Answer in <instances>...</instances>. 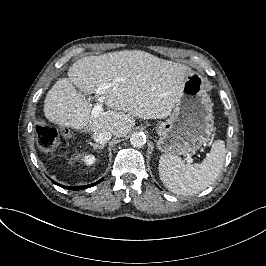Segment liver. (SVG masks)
Here are the masks:
<instances>
[{
  "label": "liver",
  "instance_id": "6515ba94",
  "mask_svg": "<svg viewBox=\"0 0 266 266\" xmlns=\"http://www.w3.org/2000/svg\"><path fill=\"white\" fill-rule=\"evenodd\" d=\"M193 71L188 66L161 60L144 51H119L102 56H85L72 64L68 77L60 78L46 94L43 113L52 124L75 130H107L125 137L142 120L166 119L183 95ZM115 81L101 92L109 108L91 115L92 102L83 93Z\"/></svg>",
  "mask_w": 266,
  "mask_h": 266
}]
</instances>
